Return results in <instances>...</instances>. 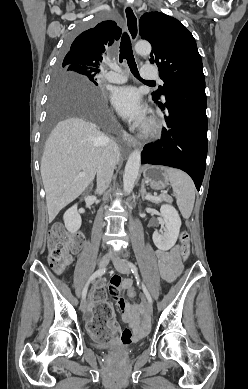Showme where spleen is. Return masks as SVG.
<instances>
[{
	"label": "spleen",
	"instance_id": "spleen-1",
	"mask_svg": "<svg viewBox=\"0 0 248 389\" xmlns=\"http://www.w3.org/2000/svg\"><path fill=\"white\" fill-rule=\"evenodd\" d=\"M167 175L176 196L179 210L183 218L188 219L195 202L194 183L189 175L179 169L167 168Z\"/></svg>",
	"mask_w": 248,
	"mask_h": 389
}]
</instances>
